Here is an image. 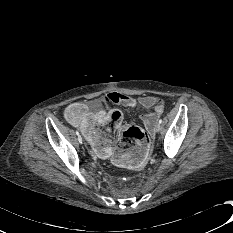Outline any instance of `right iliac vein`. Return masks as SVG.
Returning a JSON list of instances; mask_svg holds the SVG:
<instances>
[{
  "label": "right iliac vein",
  "mask_w": 233,
  "mask_h": 233,
  "mask_svg": "<svg viewBox=\"0 0 233 233\" xmlns=\"http://www.w3.org/2000/svg\"><path fill=\"white\" fill-rule=\"evenodd\" d=\"M78 141H79V143H82V142H83V139H82L81 136H78Z\"/></svg>",
  "instance_id": "obj_1"
}]
</instances>
